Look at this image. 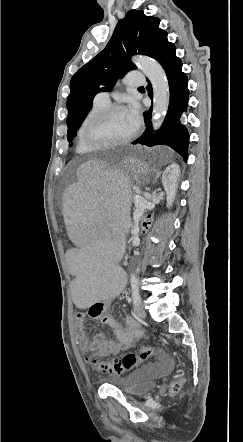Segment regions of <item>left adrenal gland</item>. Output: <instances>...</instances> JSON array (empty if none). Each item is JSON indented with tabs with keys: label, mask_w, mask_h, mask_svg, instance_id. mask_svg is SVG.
I'll list each match as a JSON object with an SVG mask.
<instances>
[{
	"label": "left adrenal gland",
	"mask_w": 243,
	"mask_h": 442,
	"mask_svg": "<svg viewBox=\"0 0 243 442\" xmlns=\"http://www.w3.org/2000/svg\"><path fill=\"white\" fill-rule=\"evenodd\" d=\"M156 174H157V175H156V178H158V177H159V174H160V172H158V171H157V172H156Z\"/></svg>",
	"instance_id": "left-adrenal-gland-1"
}]
</instances>
